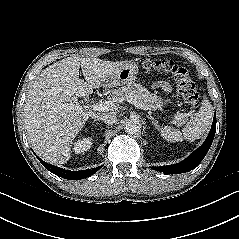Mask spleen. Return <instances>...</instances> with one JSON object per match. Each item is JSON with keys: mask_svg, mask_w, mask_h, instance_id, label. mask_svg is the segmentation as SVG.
Listing matches in <instances>:
<instances>
[{"mask_svg": "<svg viewBox=\"0 0 239 239\" xmlns=\"http://www.w3.org/2000/svg\"><path fill=\"white\" fill-rule=\"evenodd\" d=\"M213 112V106L207 97H204L196 117L190 120L182 131L170 126H165L160 129V134L166 141L170 142L183 141V139L193 142L196 139H200L209 129Z\"/></svg>", "mask_w": 239, "mask_h": 239, "instance_id": "3e777b00", "label": "spleen"}]
</instances>
